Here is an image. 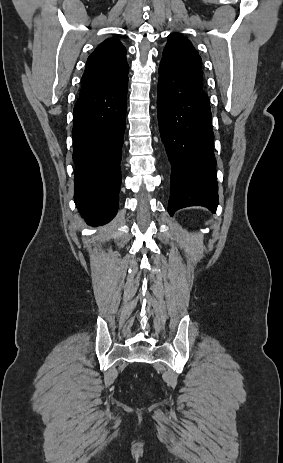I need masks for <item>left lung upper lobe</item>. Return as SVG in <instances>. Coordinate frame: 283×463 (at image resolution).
I'll return each instance as SVG.
<instances>
[{
  "instance_id": "left-lung-upper-lobe-1",
  "label": "left lung upper lobe",
  "mask_w": 283,
  "mask_h": 463,
  "mask_svg": "<svg viewBox=\"0 0 283 463\" xmlns=\"http://www.w3.org/2000/svg\"><path fill=\"white\" fill-rule=\"evenodd\" d=\"M162 60L168 62L182 76L202 87L201 57L192 43L179 34H170Z\"/></svg>"
}]
</instances>
